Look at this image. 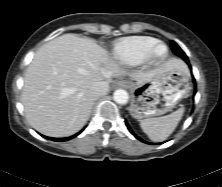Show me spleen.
<instances>
[{
	"mask_svg": "<svg viewBox=\"0 0 222 187\" xmlns=\"http://www.w3.org/2000/svg\"><path fill=\"white\" fill-rule=\"evenodd\" d=\"M183 114L184 108L182 107L166 116L143 119L140 126L152 141H164L175 130Z\"/></svg>",
	"mask_w": 222,
	"mask_h": 187,
	"instance_id": "3e777b00",
	"label": "spleen"
}]
</instances>
